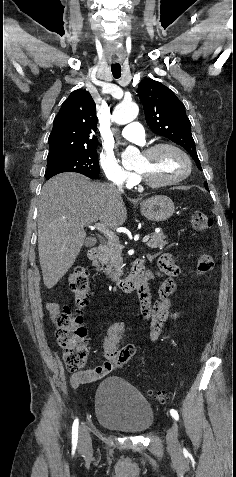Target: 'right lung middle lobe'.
Returning <instances> with one entry per match:
<instances>
[{
  "label": "right lung middle lobe",
  "instance_id": "right-lung-middle-lobe-1",
  "mask_svg": "<svg viewBox=\"0 0 236 477\" xmlns=\"http://www.w3.org/2000/svg\"><path fill=\"white\" fill-rule=\"evenodd\" d=\"M97 145L81 148L75 153L47 160L46 179L63 172H76L91 179L99 177Z\"/></svg>",
  "mask_w": 236,
  "mask_h": 477
}]
</instances>
